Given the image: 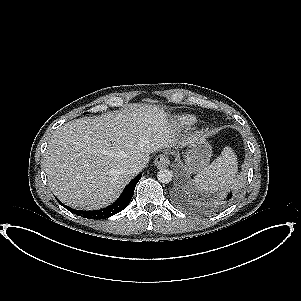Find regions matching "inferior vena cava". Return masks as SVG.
Returning a JSON list of instances; mask_svg holds the SVG:
<instances>
[{"label":"inferior vena cava","mask_w":301,"mask_h":301,"mask_svg":"<svg viewBox=\"0 0 301 301\" xmlns=\"http://www.w3.org/2000/svg\"><path fill=\"white\" fill-rule=\"evenodd\" d=\"M147 163L148 160L138 161L131 166V171L137 174L146 167Z\"/></svg>","instance_id":"1"}]
</instances>
